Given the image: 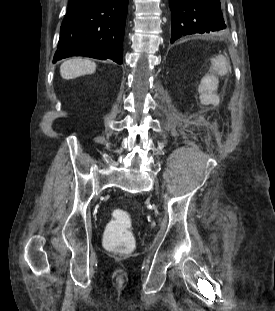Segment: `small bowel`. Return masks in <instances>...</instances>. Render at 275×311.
<instances>
[{"label":"small bowel","instance_id":"small-bowel-1","mask_svg":"<svg viewBox=\"0 0 275 311\" xmlns=\"http://www.w3.org/2000/svg\"><path fill=\"white\" fill-rule=\"evenodd\" d=\"M208 69L200 74V86H197V93H200V102L205 103V108L215 111L220 108L221 95L220 87L225 80L228 71V60L226 56H209Z\"/></svg>","mask_w":275,"mask_h":311}]
</instances>
